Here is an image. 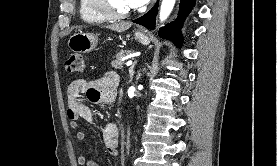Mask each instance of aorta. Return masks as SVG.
<instances>
[{
    "label": "aorta",
    "mask_w": 277,
    "mask_h": 166,
    "mask_svg": "<svg viewBox=\"0 0 277 166\" xmlns=\"http://www.w3.org/2000/svg\"><path fill=\"white\" fill-rule=\"evenodd\" d=\"M176 0H162L160 8V20L165 21L173 10Z\"/></svg>",
    "instance_id": "1"
}]
</instances>
